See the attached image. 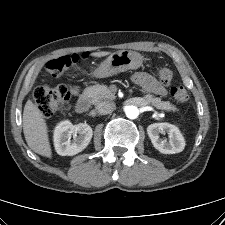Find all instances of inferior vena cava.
<instances>
[{
  "mask_svg": "<svg viewBox=\"0 0 225 225\" xmlns=\"http://www.w3.org/2000/svg\"><path fill=\"white\" fill-rule=\"evenodd\" d=\"M95 106L100 114H109L115 109V103L107 100L98 101Z\"/></svg>",
  "mask_w": 225,
  "mask_h": 225,
  "instance_id": "1",
  "label": "inferior vena cava"
}]
</instances>
